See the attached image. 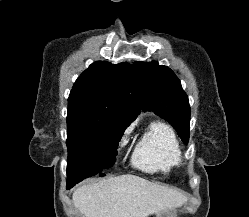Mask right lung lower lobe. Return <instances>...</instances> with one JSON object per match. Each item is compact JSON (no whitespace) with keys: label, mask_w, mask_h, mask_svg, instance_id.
<instances>
[{"label":"right lung lower lobe","mask_w":249,"mask_h":217,"mask_svg":"<svg viewBox=\"0 0 249 217\" xmlns=\"http://www.w3.org/2000/svg\"><path fill=\"white\" fill-rule=\"evenodd\" d=\"M92 167L84 161L68 159L67 167V189L73 187L78 182L82 181L90 173ZM100 177L104 176V173L98 174Z\"/></svg>","instance_id":"obj_1"}]
</instances>
